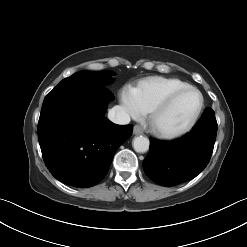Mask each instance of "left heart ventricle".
I'll return each instance as SVG.
<instances>
[{"instance_id": "obj_1", "label": "left heart ventricle", "mask_w": 247, "mask_h": 247, "mask_svg": "<svg viewBox=\"0 0 247 247\" xmlns=\"http://www.w3.org/2000/svg\"><path fill=\"white\" fill-rule=\"evenodd\" d=\"M200 103V97L196 92H187L179 96L171 106L164 111L157 119L159 128L167 131H174L185 126Z\"/></svg>"}]
</instances>
